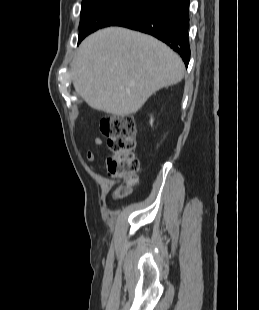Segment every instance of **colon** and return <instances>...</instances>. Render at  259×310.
<instances>
[{"label":"colon","mask_w":259,"mask_h":310,"mask_svg":"<svg viewBox=\"0 0 259 310\" xmlns=\"http://www.w3.org/2000/svg\"><path fill=\"white\" fill-rule=\"evenodd\" d=\"M100 130L110 149L107 158L108 174L126 180V185L119 188L117 196L123 198L129 193V185L135 182L139 170V160L135 154V121L130 116L103 117Z\"/></svg>","instance_id":"obj_1"}]
</instances>
